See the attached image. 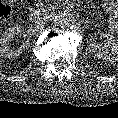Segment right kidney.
Masks as SVG:
<instances>
[{"instance_id":"ca27d5eb","label":"right kidney","mask_w":118,"mask_h":118,"mask_svg":"<svg viewBox=\"0 0 118 118\" xmlns=\"http://www.w3.org/2000/svg\"><path fill=\"white\" fill-rule=\"evenodd\" d=\"M23 27L20 25H16L6 29L3 34L0 36V55L8 57V58H16L20 56L26 48L29 47V42L27 41L23 45H21L18 49H11L9 47V43L11 39L14 38L15 35L23 32Z\"/></svg>"}]
</instances>
